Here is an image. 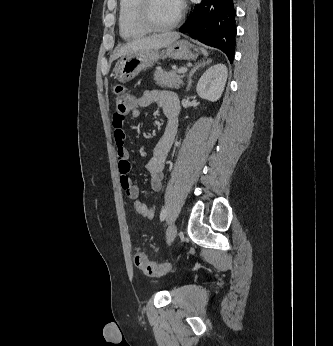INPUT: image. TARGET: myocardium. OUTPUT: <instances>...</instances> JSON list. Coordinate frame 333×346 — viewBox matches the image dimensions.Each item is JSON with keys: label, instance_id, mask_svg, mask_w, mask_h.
<instances>
[{"label": "myocardium", "instance_id": "obj_1", "mask_svg": "<svg viewBox=\"0 0 333 346\" xmlns=\"http://www.w3.org/2000/svg\"><path fill=\"white\" fill-rule=\"evenodd\" d=\"M151 2L152 0H139L138 11L139 18L143 25L150 31L162 32L175 27L181 20L182 7L180 6L174 18L166 24H158L154 21L151 15Z\"/></svg>", "mask_w": 333, "mask_h": 346}]
</instances>
